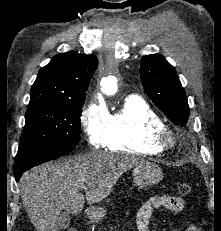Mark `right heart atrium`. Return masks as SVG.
<instances>
[{
	"label": "right heart atrium",
	"instance_id": "d8ad5b80",
	"mask_svg": "<svg viewBox=\"0 0 221 231\" xmlns=\"http://www.w3.org/2000/svg\"><path fill=\"white\" fill-rule=\"evenodd\" d=\"M109 116L105 104L97 100L91 101L85 107L81 120L85 136L93 147H100L105 143Z\"/></svg>",
	"mask_w": 221,
	"mask_h": 231
}]
</instances>
